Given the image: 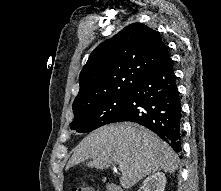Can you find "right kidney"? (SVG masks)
I'll return each mask as SVG.
<instances>
[{
	"instance_id": "right-kidney-1",
	"label": "right kidney",
	"mask_w": 221,
	"mask_h": 191,
	"mask_svg": "<svg viewBox=\"0 0 221 191\" xmlns=\"http://www.w3.org/2000/svg\"><path fill=\"white\" fill-rule=\"evenodd\" d=\"M166 185V177L162 172H157L148 176L141 187L142 191H164Z\"/></svg>"
}]
</instances>
